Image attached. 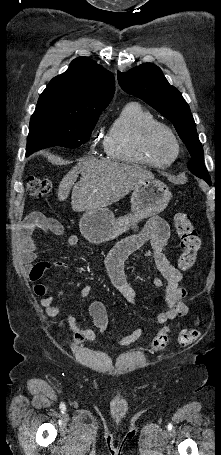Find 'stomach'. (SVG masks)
Masks as SVG:
<instances>
[{"label":"stomach","mask_w":221,"mask_h":455,"mask_svg":"<svg viewBox=\"0 0 221 455\" xmlns=\"http://www.w3.org/2000/svg\"><path fill=\"white\" fill-rule=\"evenodd\" d=\"M171 199V192L159 180H146L138 185L131 195V213L115 218L106 207L86 210L80 218L79 227L83 237L90 243L102 244L114 240L142 219L162 212Z\"/></svg>","instance_id":"stomach-1"}]
</instances>
